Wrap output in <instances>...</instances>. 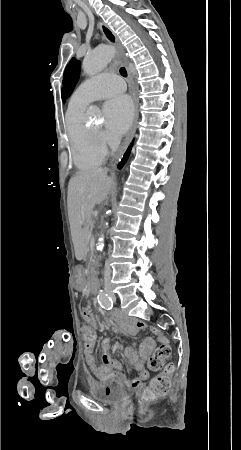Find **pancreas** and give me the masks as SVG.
I'll return each mask as SVG.
<instances>
[{
  "label": "pancreas",
  "instance_id": "1",
  "mask_svg": "<svg viewBox=\"0 0 241 450\" xmlns=\"http://www.w3.org/2000/svg\"><path fill=\"white\" fill-rule=\"evenodd\" d=\"M88 233H91V232H88V230H85V232H84L85 240H88V238H89Z\"/></svg>",
  "mask_w": 241,
  "mask_h": 450
}]
</instances>
